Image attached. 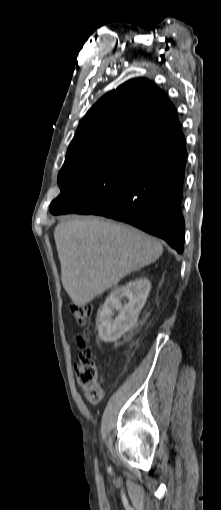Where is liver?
I'll return each mask as SVG.
<instances>
[{
	"label": "liver",
	"mask_w": 221,
	"mask_h": 510,
	"mask_svg": "<svg viewBox=\"0 0 221 510\" xmlns=\"http://www.w3.org/2000/svg\"><path fill=\"white\" fill-rule=\"evenodd\" d=\"M54 238L62 285L79 307L155 262L163 252L161 243L142 231L97 217L62 221Z\"/></svg>",
	"instance_id": "6515ba94"
}]
</instances>
